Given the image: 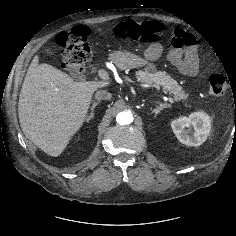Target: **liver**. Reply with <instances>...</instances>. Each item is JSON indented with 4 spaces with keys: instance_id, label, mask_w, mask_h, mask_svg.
<instances>
[{
    "instance_id": "obj_1",
    "label": "liver",
    "mask_w": 236,
    "mask_h": 236,
    "mask_svg": "<svg viewBox=\"0 0 236 236\" xmlns=\"http://www.w3.org/2000/svg\"><path fill=\"white\" fill-rule=\"evenodd\" d=\"M107 81L75 82L59 69L32 60L19 95L18 116L26 138L59 156L82 127L94 92Z\"/></svg>"
}]
</instances>
